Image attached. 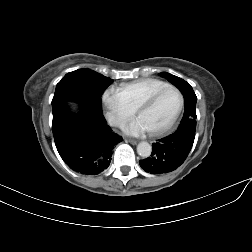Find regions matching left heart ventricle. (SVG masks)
Returning a JSON list of instances; mask_svg holds the SVG:
<instances>
[{
    "instance_id": "b2bd125f",
    "label": "left heart ventricle",
    "mask_w": 252,
    "mask_h": 252,
    "mask_svg": "<svg viewBox=\"0 0 252 252\" xmlns=\"http://www.w3.org/2000/svg\"><path fill=\"white\" fill-rule=\"evenodd\" d=\"M179 104V97L174 91L163 93L150 107L139 112L138 118L147 130L164 126L172 117Z\"/></svg>"
}]
</instances>
